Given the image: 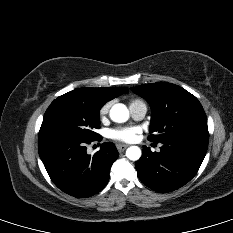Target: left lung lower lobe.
Listing matches in <instances>:
<instances>
[{"mask_svg": "<svg viewBox=\"0 0 233 233\" xmlns=\"http://www.w3.org/2000/svg\"><path fill=\"white\" fill-rule=\"evenodd\" d=\"M162 144L159 153L144 146L135 167L146 186L167 193L182 187L195 176L207 152L208 138H176Z\"/></svg>", "mask_w": 233, "mask_h": 233, "instance_id": "1", "label": "left lung lower lobe"}]
</instances>
